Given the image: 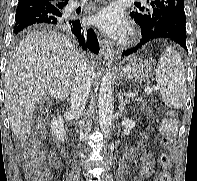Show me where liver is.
I'll use <instances>...</instances> for the list:
<instances>
[{
	"instance_id": "obj_1",
	"label": "liver",
	"mask_w": 197,
	"mask_h": 181,
	"mask_svg": "<svg viewBox=\"0 0 197 181\" xmlns=\"http://www.w3.org/2000/svg\"><path fill=\"white\" fill-rule=\"evenodd\" d=\"M81 60L71 41L54 31L30 33L15 47L6 70L4 92L8 119L19 140L31 133L35 105L43 96L62 99L69 95ZM96 77L93 70L91 83Z\"/></svg>"
}]
</instances>
